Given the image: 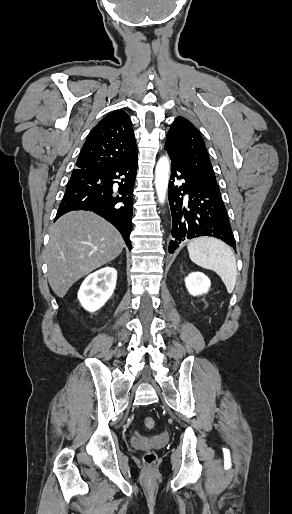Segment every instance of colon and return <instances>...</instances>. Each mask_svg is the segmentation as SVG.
<instances>
[{
  "label": "colon",
  "instance_id": "1",
  "mask_svg": "<svg viewBox=\"0 0 292 514\" xmlns=\"http://www.w3.org/2000/svg\"><path fill=\"white\" fill-rule=\"evenodd\" d=\"M144 425L147 429H153L156 425L155 419L148 415L144 417ZM144 461L147 464H153L156 461V454L152 450H147L144 454Z\"/></svg>",
  "mask_w": 292,
  "mask_h": 514
}]
</instances>
